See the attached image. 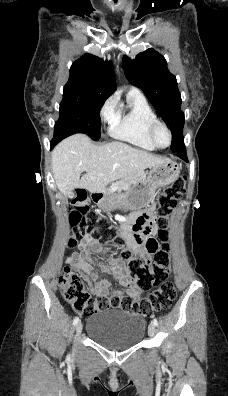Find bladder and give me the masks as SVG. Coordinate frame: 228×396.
<instances>
[{
    "label": "bladder",
    "instance_id": "31cf9c89",
    "mask_svg": "<svg viewBox=\"0 0 228 396\" xmlns=\"http://www.w3.org/2000/svg\"><path fill=\"white\" fill-rule=\"evenodd\" d=\"M146 322L138 313L108 309L89 316L87 335L109 349L124 350L140 343L145 336Z\"/></svg>",
    "mask_w": 228,
    "mask_h": 396
}]
</instances>
